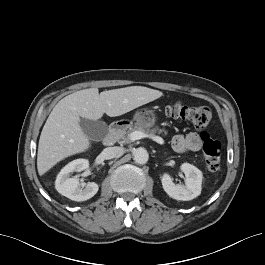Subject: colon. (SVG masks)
I'll return each mask as SVG.
<instances>
[{
	"mask_svg": "<svg viewBox=\"0 0 265 265\" xmlns=\"http://www.w3.org/2000/svg\"><path fill=\"white\" fill-rule=\"evenodd\" d=\"M165 112L168 117L187 120L198 129L207 128L213 118L211 109L206 106L192 107L179 102L169 104ZM202 142L206 166L209 171L217 172L221 163V144L206 132L202 134Z\"/></svg>",
	"mask_w": 265,
	"mask_h": 265,
	"instance_id": "colon-1",
	"label": "colon"
}]
</instances>
